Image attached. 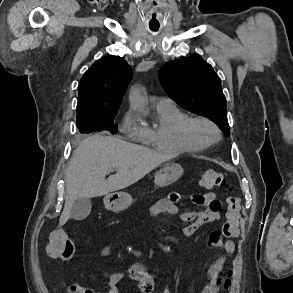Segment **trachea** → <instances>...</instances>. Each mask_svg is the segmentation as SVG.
I'll return each instance as SVG.
<instances>
[{"label": "trachea", "mask_w": 293, "mask_h": 293, "mask_svg": "<svg viewBox=\"0 0 293 293\" xmlns=\"http://www.w3.org/2000/svg\"><path fill=\"white\" fill-rule=\"evenodd\" d=\"M152 31H157V29H151Z\"/></svg>", "instance_id": "trachea-1"}]
</instances>
